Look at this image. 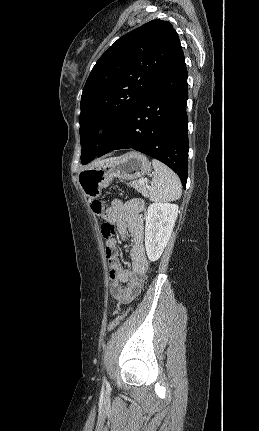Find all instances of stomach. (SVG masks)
<instances>
[{"mask_svg": "<svg viewBox=\"0 0 259 431\" xmlns=\"http://www.w3.org/2000/svg\"><path fill=\"white\" fill-rule=\"evenodd\" d=\"M150 172L151 163L148 158L139 152L131 151L82 169L78 173V183L85 196L94 199L101 195L102 189L109 186L114 178L135 180Z\"/></svg>", "mask_w": 259, "mask_h": 431, "instance_id": "1", "label": "stomach"}]
</instances>
